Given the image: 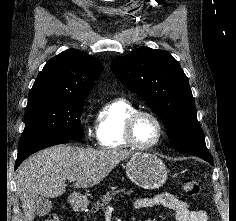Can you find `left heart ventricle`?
Returning <instances> with one entry per match:
<instances>
[{
	"label": "left heart ventricle",
	"mask_w": 236,
	"mask_h": 221,
	"mask_svg": "<svg viewBox=\"0 0 236 221\" xmlns=\"http://www.w3.org/2000/svg\"><path fill=\"white\" fill-rule=\"evenodd\" d=\"M159 131L157 124L148 116L140 117L134 128L135 139L142 145L153 143L158 137Z\"/></svg>",
	"instance_id": "obj_1"
}]
</instances>
